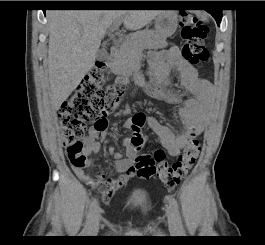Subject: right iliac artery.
Segmentation results:
<instances>
[{
    "label": "right iliac artery",
    "mask_w": 265,
    "mask_h": 245,
    "mask_svg": "<svg viewBox=\"0 0 265 245\" xmlns=\"http://www.w3.org/2000/svg\"><path fill=\"white\" fill-rule=\"evenodd\" d=\"M97 206H98V199L93 198L92 201L90 202L89 206H88V209H87L86 222H85L84 228L82 230L83 236L89 235V228H90L91 222L93 220V217L95 215V211H96Z\"/></svg>",
    "instance_id": "obj_1"
}]
</instances>
